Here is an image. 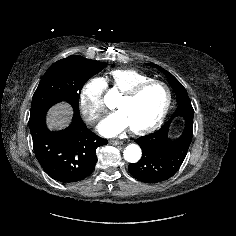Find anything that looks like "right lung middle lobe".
I'll return each instance as SVG.
<instances>
[{
	"mask_svg": "<svg viewBox=\"0 0 236 236\" xmlns=\"http://www.w3.org/2000/svg\"><path fill=\"white\" fill-rule=\"evenodd\" d=\"M107 64L72 55L51 65L33 95L31 115L46 113L54 104L66 101L74 114L79 113V96L83 85Z\"/></svg>",
	"mask_w": 236,
	"mask_h": 236,
	"instance_id": "dd1d6c3e",
	"label": "right lung middle lobe"
}]
</instances>
